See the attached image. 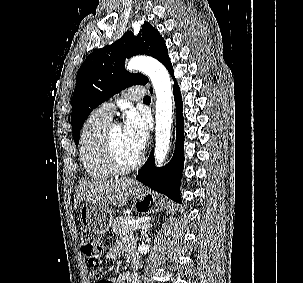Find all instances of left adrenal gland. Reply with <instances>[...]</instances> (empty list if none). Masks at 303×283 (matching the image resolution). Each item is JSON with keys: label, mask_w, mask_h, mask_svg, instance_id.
I'll return each instance as SVG.
<instances>
[{"label": "left adrenal gland", "mask_w": 303, "mask_h": 283, "mask_svg": "<svg viewBox=\"0 0 303 283\" xmlns=\"http://www.w3.org/2000/svg\"><path fill=\"white\" fill-rule=\"evenodd\" d=\"M150 227H152V224H150V221H147L143 224L142 228H141V239H144V237L147 236V232L150 229Z\"/></svg>", "instance_id": "obj_1"}]
</instances>
